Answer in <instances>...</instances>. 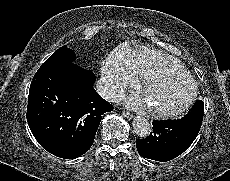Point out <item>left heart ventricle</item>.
Listing matches in <instances>:
<instances>
[{
	"mask_svg": "<svg viewBox=\"0 0 230 181\" xmlns=\"http://www.w3.org/2000/svg\"><path fill=\"white\" fill-rule=\"evenodd\" d=\"M191 89V84L187 80L168 77L153 82L144 95L152 108L174 109L187 100Z\"/></svg>",
	"mask_w": 230,
	"mask_h": 181,
	"instance_id": "obj_1",
	"label": "left heart ventricle"
}]
</instances>
